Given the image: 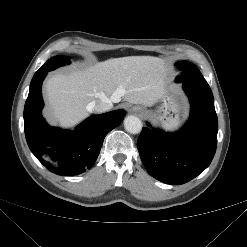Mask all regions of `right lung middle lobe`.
Returning <instances> with one entry per match:
<instances>
[{
    "label": "right lung middle lobe",
    "mask_w": 247,
    "mask_h": 247,
    "mask_svg": "<svg viewBox=\"0 0 247 247\" xmlns=\"http://www.w3.org/2000/svg\"><path fill=\"white\" fill-rule=\"evenodd\" d=\"M65 64H69V57L55 56L48 60L37 72H48Z\"/></svg>",
    "instance_id": "right-lung-middle-lobe-1"
}]
</instances>
